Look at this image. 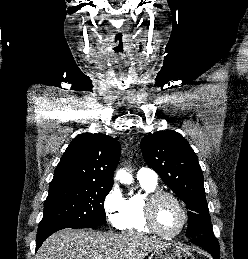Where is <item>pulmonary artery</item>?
I'll use <instances>...</instances> for the list:
<instances>
[{"instance_id":"pulmonary-artery-1","label":"pulmonary artery","mask_w":248,"mask_h":259,"mask_svg":"<svg viewBox=\"0 0 248 259\" xmlns=\"http://www.w3.org/2000/svg\"><path fill=\"white\" fill-rule=\"evenodd\" d=\"M137 178L142 181L157 183L158 175L153 169L142 167L137 172Z\"/></svg>"}]
</instances>
